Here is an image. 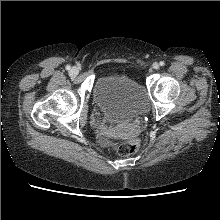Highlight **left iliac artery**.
<instances>
[{
	"mask_svg": "<svg viewBox=\"0 0 220 220\" xmlns=\"http://www.w3.org/2000/svg\"><path fill=\"white\" fill-rule=\"evenodd\" d=\"M164 65H165L164 61H161L160 66H164Z\"/></svg>",
	"mask_w": 220,
	"mask_h": 220,
	"instance_id": "44dca946",
	"label": "left iliac artery"
}]
</instances>
